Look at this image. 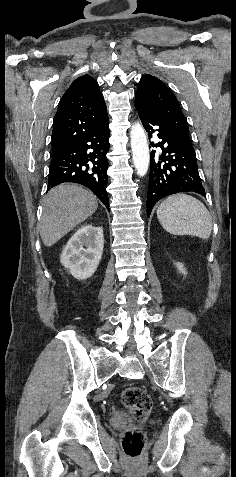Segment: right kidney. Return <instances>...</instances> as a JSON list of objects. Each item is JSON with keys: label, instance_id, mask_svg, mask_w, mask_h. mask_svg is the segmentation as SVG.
<instances>
[{"label": "right kidney", "instance_id": "obj_1", "mask_svg": "<svg viewBox=\"0 0 236 477\" xmlns=\"http://www.w3.org/2000/svg\"><path fill=\"white\" fill-rule=\"evenodd\" d=\"M103 248V228L92 224L84 225L66 244L60 262L74 278L84 280L97 270Z\"/></svg>", "mask_w": 236, "mask_h": 477}]
</instances>
